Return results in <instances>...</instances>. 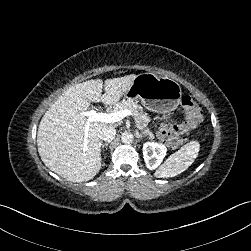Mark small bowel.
Here are the masks:
<instances>
[{
	"label": "small bowel",
	"mask_w": 251,
	"mask_h": 251,
	"mask_svg": "<svg viewBox=\"0 0 251 251\" xmlns=\"http://www.w3.org/2000/svg\"><path fill=\"white\" fill-rule=\"evenodd\" d=\"M168 117H169L168 115H164V117H163V118H164V119H166V118H168Z\"/></svg>",
	"instance_id": "c3829d8e"
}]
</instances>
